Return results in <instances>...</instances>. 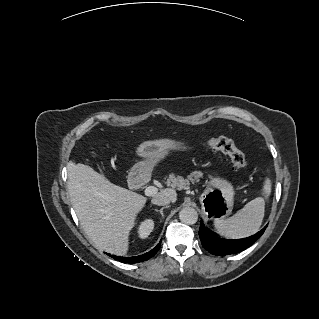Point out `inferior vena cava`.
Returning a JSON list of instances; mask_svg holds the SVG:
<instances>
[{"mask_svg": "<svg viewBox=\"0 0 319 319\" xmlns=\"http://www.w3.org/2000/svg\"><path fill=\"white\" fill-rule=\"evenodd\" d=\"M151 202L159 206H168L170 204V199L166 196L158 195L154 197Z\"/></svg>", "mask_w": 319, "mask_h": 319, "instance_id": "inferior-vena-cava-1", "label": "inferior vena cava"}]
</instances>
